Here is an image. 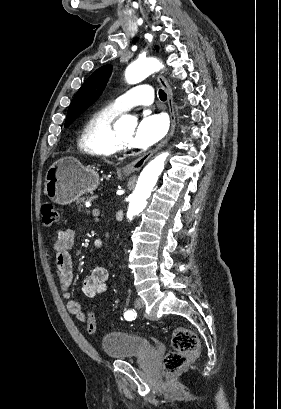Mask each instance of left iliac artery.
<instances>
[{
    "label": "left iliac artery",
    "instance_id": "1",
    "mask_svg": "<svg viewBox=\"0 0 281 409\" xmlns=\"http://www.w3.org/2000/svg\"><path fill=\"white\" fill-rule=\"evenodd\" d=\"M136 314L133 310H128L125 312L124 317L126 320H133L135 318Z\"/></svg>",
    "mask_w": 281,
    "mask_h": 409
}]
</instances>
